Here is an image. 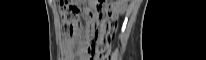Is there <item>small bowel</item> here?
<instances>
[{
    "mask_svg": "<svg viewBox=\"0 0 206 60\" xmlns=\"http://www.w3.org/2000/svg\"><path fill=\"white\" fill-rule=\"evenodd\" d=\"M65 56H66L69 60L75 59L76 54L74 53L73 44H72V41H71V40H69V41L67 42V45L65 46Z\"/></svg>",
    "mask_w": 206,
    "mask_h": 60,
    "instance_id": "small-bowel-1",
    "label": "small bowel"
}]
</instances>
